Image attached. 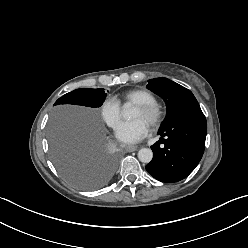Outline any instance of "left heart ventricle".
I'll return each instance as SVG.
<instances>
[{"label": "left heart ventricle", "instance_id": "left-heart-ventricle-1", "mask_svg": "<svg viewBox=\"0 0 248 248\" xmlns=\"http://www.w3.org/2000/svg\"><path fill=\"white\" fill-rule=\"evenodd\" d=\"M132 119H137L140 118L142 120H144L147 124L149 122V117L147 115H145L144 113H142L139 109H137L136 107L133 110V113L131 115Z\"/></svg>", "mask_w": 248, "mask_h": 248}]
</instances>
